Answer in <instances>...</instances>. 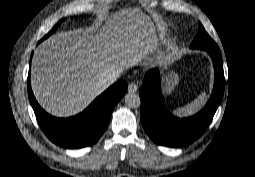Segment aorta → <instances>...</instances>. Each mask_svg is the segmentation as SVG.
Wrapping results in <instances>:
<instances>
[{
	"mask_svg": "<svg viewBox=\"0 0 255 177\" xmlns=\"http://www.w3.org/2000/svg\"><path fill=\"white\" fill-rule=\"evenodd\" d=\"M125 104L132 109L139 108L141 104L139 95L136 93H129L125 97Z\"/></svg>",
	"mask_w": 255,
	"mask_h": 177,
	"instance_id": "1",
	"label": "aorta"
}]
</instances>
